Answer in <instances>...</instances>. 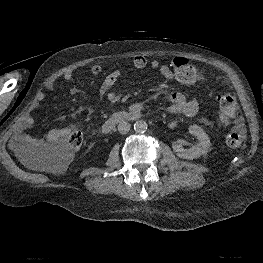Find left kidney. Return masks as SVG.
<instances>
[{
  "instance_id": "5707ae66",
  "label": "left kidney",
  "mask_w": 263,
  "mask_h": 263,
  "mask_svg": "<svg viewBox=\"0 0 263 263\" xmlns=\"http://www.w3.org/2000/svg\"><path fill=\"white\" fill-rule=\"evenodd\" d=\"M188 131L195 135L199 139V142L190 149H184L180 143L174 142L172 148L180 158L193 160L206 154L210 148L211 142L203 128L198 125L189 126Z\"/></svg>"
}]
</instances>
